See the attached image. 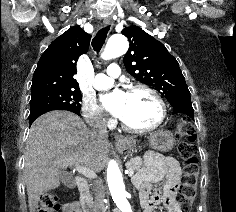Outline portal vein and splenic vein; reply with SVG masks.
<instances>
[{
	"instance_id": "obj_1",
	"label": "portal vein and splenic vein",
	"mask_w": 236,
	"mask_h": 212,
	"mask_svg": "<svg viewBox=\"0 0 236 212\" xmlns=\"http://www.w3.org/2000/svg\"><path fill=\"white\" fill-rule=\"evenodd\" d=\"M75 169L78 173H80L81 175H84L85 177H88V178H95L96 177V173L93 170L89 169L88 167L76 166ZM126 173L129 176H132L134 174V172L132 170H127Z\"/></svg>"
}]
</instances>
